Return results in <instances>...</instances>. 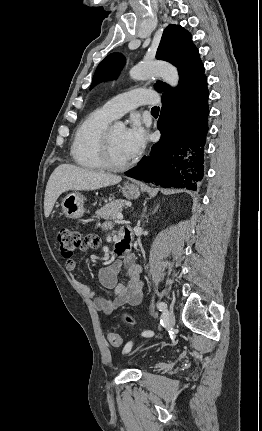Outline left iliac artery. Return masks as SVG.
Wrapping results in <instances>:
<instances>
[{
  "mask_svg": "<svg viewBox=\"0 0 262 431\" xmlns=\"http://www.w3.org/2000/svg\"><path fill=\"white\" fill-rule=\"evenodd\" d=\"M166 308H167V305L164 302H160L158 304V309H159V311L163 312V314H165ZM143 335H145L147 337H151L154 335V332L148 330V331L143 332ZM130 348H131V343H128L124 348V352H128L130 350Z\"/></svg>",
  "mask_w": 262,
  "mask_h": 431,
  "instance_id": "obj_1",
  "label": "left iliac artery"
}]
</instances>
